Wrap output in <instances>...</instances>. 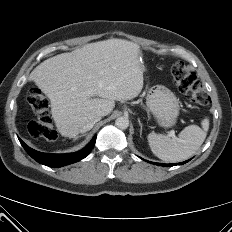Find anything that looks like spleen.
Wrapping results in <instances>:
<instances>
[{
	"instance_id": "spleen-1",
	"label": "spleen",
	"mask_w": 232,
	"mask_h": 232,
	"mask_svg": "<svg viewBox=\"0 0 232 232\" xmlns=\"http://www.w3.org/2000/svg\"><path fill=\"white\" fill-rule=\"evenodd\" d=\"M202 128L197 125L185 127L179 137L169 138L152 132L148 134L151 151L159 159L166 162H179L191 157L203 144L209 129V119L204 118Z\"/></svg>"
}]
</instances>
